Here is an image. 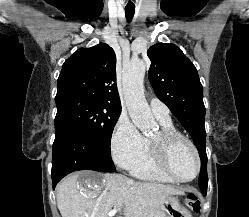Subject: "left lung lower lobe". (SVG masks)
Segmentation results:
<instances>
[{
	"instance_id": "1",
	"label": "left lung lower lobe",
	"mask_w": 249,
	"mask_h": 217,
	"mask_svg": "<svg viewBox=\"0 0 249 217\" xmlns=\"http://www.w3.org/2000/svg\"><path fill=\"white\" fill-rule=\"evenodd\" d=\"M198 183H199V186L201 188L202 194L206 195V193H207V184H208L207 168H201Z\"/></svg>"
}]
</instances>
